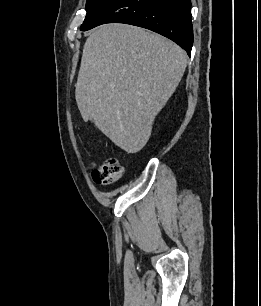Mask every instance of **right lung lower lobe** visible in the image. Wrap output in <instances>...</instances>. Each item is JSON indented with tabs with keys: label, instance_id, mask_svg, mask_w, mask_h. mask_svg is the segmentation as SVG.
<instances>
[{
	"label": "right lung lower lobe",
	"instance_id": "right-lung-lower-lobe-1",
	"mask_svg": "<svg viewBox=\"0 0 261 306\" xmlns=\"http://www.w3.org/2000/svg\"><path fill=\"white\" fill-rule=\"evenodd\" d=\"M105 23H125L157 32L191 54L193 27L190 0H113L86 31Z\"/></svg>",
	"mask_w": 261,
	"mask_h": 306
}]
</instances>
